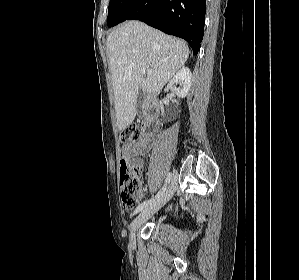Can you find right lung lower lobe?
I'll use <instances>...</instances> for the list:
<instances>
[{
    "label": "right lung lower lobe",
    "instance_id": "obj_1",
    "mask_svg": "<svg viewBox=\"0 0 299 280\" xmlns=\"http://www.w3.org/2000/svg\"><path fill=\"white\" fill-rule=\"evenodd\" d=\"M206 0H135L120 16L185 39L196 55L204 34ZM118 23V24H119Z\"/></svg>",
    "mask_w": 299,
    "mask_h": 280
}]
</instances>
